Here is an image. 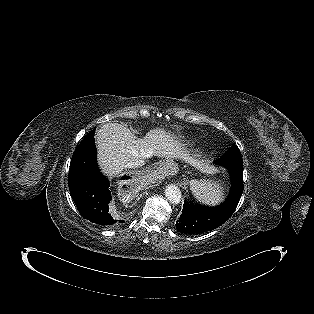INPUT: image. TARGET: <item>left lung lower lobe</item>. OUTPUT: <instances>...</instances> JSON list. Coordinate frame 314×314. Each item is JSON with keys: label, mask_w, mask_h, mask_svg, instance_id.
Instances as JSON below:
<instances>
[{"label": "left lung lower lobe", "mask_w": 314, "mask_h": 314, "mask_svg": "<svg viewBox=\"0 0 314 314\" xmlns=\"http://www.w3.org/2000/svg\"><path fill=\"white\" fill-rule=\"evenodd\" d=\"M231 189L225 202L217 207L185 203L182 215L176 222L181 233L198 234L213 230L226 222L234 213L243 192V166L227 167Z\"/></svg>", "instance_id": "0a47b994"}]
</instances>
